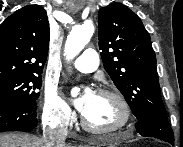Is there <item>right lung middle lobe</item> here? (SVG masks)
Instances as JSON below:
<instances>
[{
    "label": "right lung middle lobe",
    "instance_id": "1",
    "mask_svg": "<svg viewBox=\"0 0 183 147\" xmlns=\"http://www.w3.org/2000/svg\"><path fill=\"white\" fill-rule=\"evenodd\" d=\"M41 74L0 79V102L13 100L36 101L40 95Z\"/></svg>",
    "mask_w": 183,
    "mask_h": 147
}]
</instances>
